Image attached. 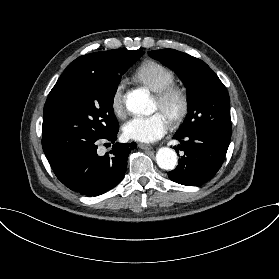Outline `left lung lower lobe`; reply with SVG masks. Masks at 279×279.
I'll return each instance as SVG.
<instances>
[{
    "label": "left lung lower lobe",
    "instance_id": "obj_1",
    "mask_svg": "<svg viewBox=\"0 0 279 279\" xmlns=\"http://www.w3.org/2000/svg\"><path fill=\"white\" fill-rule=\"evenodd\" d=\"M174 138L180 141L178 149L183 150L184 155L176 169L168 172V177L182 185L197 186L209 181L222 166L231 134L201 129L175 134Z\"/></svg>",
    "mask_w": 279,
    "mask_h": 279
}]
</instances>
